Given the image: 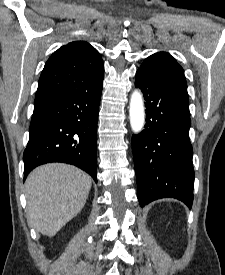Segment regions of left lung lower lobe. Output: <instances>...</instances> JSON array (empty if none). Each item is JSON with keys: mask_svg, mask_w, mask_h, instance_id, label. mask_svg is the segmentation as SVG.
Listing matches in <instances>:
<instances>
[{"mask_svg": "<svg viewBox=\"0 0 225 275\" xmlns=\"http://www.w3.org/2000/svg\"><path fill=\"white\" fill-rule=\"evenodd\" d=\"M135 85L142 90L146 106L145 128L132 136L140 206L170 197L191 208L194 170L189 99L139 70Z\"/></svg>", "mask_w": 225, "mask_h": 275, "instance_id": "1", "label": "left lung lower lobe"}]
</instances>
